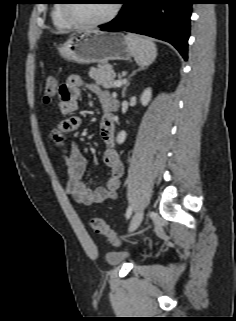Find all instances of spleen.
<instances>
[{
  "label": "spleen",
  "mask_w": 236,
  "mask_h": 321,
  "mask_svg": "<svg viewBox=\"0 0 236 321\" xmlns=\"http://www.w3.org/2000/svg\"><path fill=\"white\" fill-rule=\"evenodd\" d=\"M126 41L132 48L134 59L138 65L143 67L148 66L155 60L157 48L151 40L128 34Z\"/></svg>",
  "instance_id": "obj_1"
}]
</instances>
